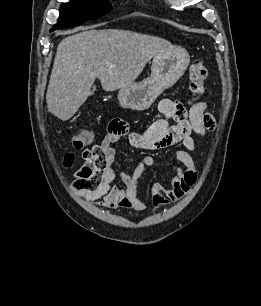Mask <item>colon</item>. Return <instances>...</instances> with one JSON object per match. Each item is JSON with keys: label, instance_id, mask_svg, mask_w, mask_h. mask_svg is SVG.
<instances>
[{"label": "colon", "instance_id": "1", "mask_svg": "<svg viewBox=\"0 0 261 306\" xmlns=\"http://www.w3.org/2000/svg\"><path fill=\"white\" fill-rule=\"evenodd\" d=\"M208 77V71L201 61H194L189 68V87L195 98L204 92V83ZM72 144L76 149H84L83 157L89 158L96 168L101 169L106 164V154L100 145H91L92 136L87 130H78L72 138ZM66 162H72V155H67ZM74 186L79 190L91 189L94 185L86 180L82 174L76 172Z\"/></svg>", "mask_w": 261, "mask_h": 306}]
</instances>
